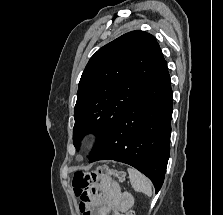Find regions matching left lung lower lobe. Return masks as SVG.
I'll list each match as a JSON object with an SVG mask.
<instances>
[{"instance_id": "obj_1", "label": "left lung lower lobe", "mask_w": 223, "mask_h": 215, "mask_svg": "<svg viewBox=\"0 0 223 215\" xmlns=\"http://www.w3.org/2000/svg\"><path fill=\"white\" fill-rule=\"evenodd\" d=\"M172 97L165 61L89 162L108 159L129 164L145 174L158 193L170 153Z\"/></svg>"}]
</instances>
